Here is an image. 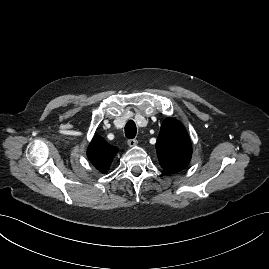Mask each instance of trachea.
Listing matches in <instances>:
<instances>
[{"label": "trachea", "mask_w": 269, "mask_h": 269, "mask_svg": "<svg viewBox=\"0 0 269 269\" xmlns=\"http://www.w3.org/2000/svg\"><path fill=\"white\" fill-rule=\"evenodd\" d=\"M136 124L134 121L130 120L125 125V135L129 139H133L136 136Z\"/></svg>", "instance_id": "trachea-1"}]
</instances>
